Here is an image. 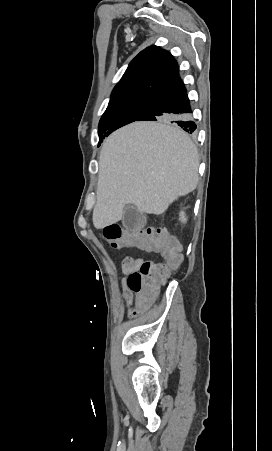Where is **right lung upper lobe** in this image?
I'll return each mask as SVG.
<instances>
[{"label": "right lung upper lobe", "instance_id": "obj_1", "mask_svg": "<svg viewBox=\"0 0 272 451\" xmlns=\"http://www.w3.org/2000/svg\"><path fill=\"white\" fill-rule=\"evenodd\" d=\"M179 75L176 60L158 46L141 51L129 64L115 86L110 102L131 98H151Z\"/></svg>", "mask_w": 272, "mask_h": 451}]
</instances>
